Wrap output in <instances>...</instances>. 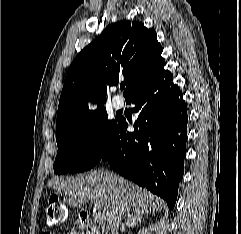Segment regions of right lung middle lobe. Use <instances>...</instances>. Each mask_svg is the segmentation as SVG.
Returning a JSON list of instances; mask_svg holds the SVG:
<instances>
[{
    "label": "right lung middle lobe",
    "instance_id": "obj_1",
    "mask_svg": "<svg viewBox=\"0 0 241 234\" xmlns=\"http://www.w3.org/2000/svg\"><path fill=\"white\" fill-rule=\"evenodd\" d=\"M118 118L108 120L104 107L79 123L56 131L58 146L54 173L66 174L93 168L104 154Z\"/></svg>",
    "mask_w": 241,
    "mask_h": 234
}]
</instances>
